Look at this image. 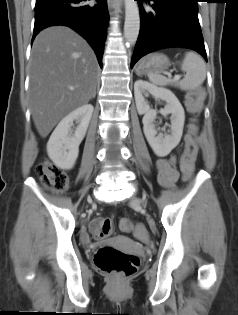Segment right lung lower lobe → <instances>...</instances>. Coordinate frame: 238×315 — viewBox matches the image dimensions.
<instances>
[{
	"label": "right lung lower lobe",
	"mask_w": 238,
	"mask_h": 315,
	"mask_svg": "<svg viewBox=\"0 0 238 315\" xmlns=\"http://www.w3.org/2000/svg\"><path fill=\"white\" fill-rule=\"evenodd\" d=\"M84 1L86 0H36L32 40L46 27L69 26L88 41L102 67L109 17L107 1L96 0L94 6L85 5Z\"/></svg>",
	"instance_id": "1"
}]
</instances>
